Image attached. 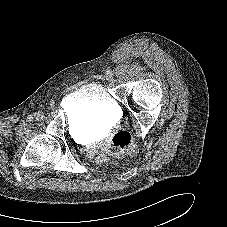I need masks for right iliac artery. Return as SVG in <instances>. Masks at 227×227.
I'll return each instance as SVG.
<instances>
[{"label": "right iliac artery", "instance_id": "1", "mask_svg": "<svg viewBox=\"0 0 227 227\" xmlns=\"http://www.w3.org/2000/svg\"><path fill=\"white\" fill-rule=\"evenodd\" d=\"M27 119H28V121H31V120L33 119L32 115H29V116L27 117Z\"/></svg>", "mask_w": 227, "mask_h": 227}]
</instances>
